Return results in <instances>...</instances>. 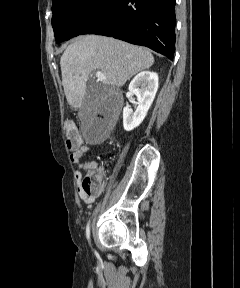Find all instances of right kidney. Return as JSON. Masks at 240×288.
I'll list each match as a JSON object with an SVG mask.
<instances>
[{
  "instance_id": "ca27d5eb",
  "label": "right kidney",
  "mask_w": 240,
  "mask_h": 288,
  "mask_svg": "<svg viewBox=\"0 0 240 288\" xmlns=\"http://www.w3.org/2000/svg\"><path fill=\"white\" fill-rule=\"evenodd\" d=\"M158 89V75L143 71L130 82L129 91L137 96L138 107L133 113L129 106L123 109V127L131 131L144 120Z\"/></svg>"
}]
</instances>
